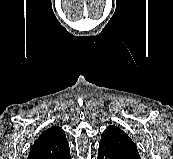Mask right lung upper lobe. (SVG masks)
Returning <instances> with one entry per match:
<instances>
[{
  "label": "right lung upper lobe",
  "instance_id": "obj_1",
  "mask_svg": "<svg viewBox=\"0 0 173 159\" xmlns=\"http://www.w3.org/2000/svg\"><path fill=\"white\" fill-rule=\"evenodd\" d=\"M69 150L65 132L58 126L44 131L30 148L28 159H55Z\"/></svg>",
  "mask_w": 173,
  "mask_h": 159
}]
</instances>
